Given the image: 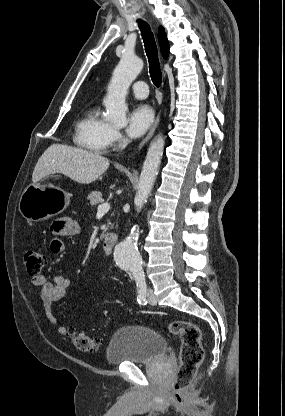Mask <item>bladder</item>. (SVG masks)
I'll list each match as a JSON object with an SVG mask.
<instances>
[{
	"label": "bladder",
	"instance_id": "31cf9c89",
	"mask_svg": "<svg viewBox=\"0 0 285 416\" xmlns=\"http://www.w3.org/2000/svg\"><path fill=\"white\" fill-rule=\"evenodd\" d=\"M167 355V340L156 330L142 325H124L112 335L106 358L110 363H152Z\"/></svg>",
	"mask_w": 285,
	"mask_h": 416
}]
</instances>
